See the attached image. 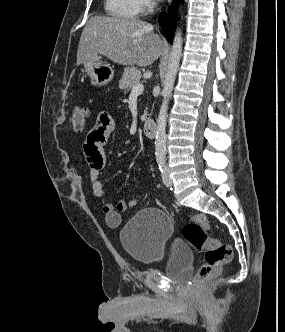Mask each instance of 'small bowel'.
I'll list each match as a JSON object with an SVG mask.
<instances>
[{
    "mask_svg": "<svg viewBox=\"0 0 285 332\" xmlns=\"http://www.w3.org/2000/svg\"><path fill=\"white\" fill-rule=\"evenodd\" d=\"M116 123L106 112H100L94 127L88 132L83 150L90 168V181L95 198L101 203L106 224L116 228L121 223L120 213L126 212L137 204L136 199L120 200L116 205L109 201L100 174L105 167L104 147L115 131Z\"/></svg>",
    "mask_w": 285,
    "mask_h": 332,
    "instance_id": "obj_1",
    "label": "small bowel"
}]
</instances>
